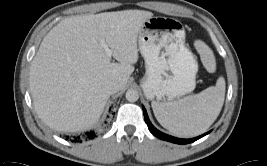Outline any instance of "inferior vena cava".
<instances>
[{
  "label": "inferior vena cava",
  "instance_id": "inferior-vena-cava-1",
  "mask_svg": "<svg viewBox=\"0 0 267 166\" xmlns=\"http://www.w3.org/2000/svg\"><path fill=\"white\" fill-rule=\"evenodd\" d=\"M105 89L107 91L108 94H114L117 91H119V86L117 83L115 82H108L105 86Z\"/></svg>",
  "mask_w": 267,
  "mask_h": 166
}]
</instances>
